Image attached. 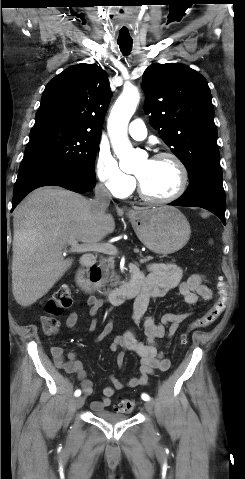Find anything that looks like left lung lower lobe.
<instances>
[{
  "label": "left lung lower lobe",
  "mask_w": 245,
  "mask_h": 479,
  "mask_svg": "<svg viewBox=\"0 0 245 479\" xmlns=\"http://www.w3.org/2000/svg\"><path fill=\"white\" fill-rule=\"evenodd\" d=\"M173 206L201 207L214 213L225 222V192L222 184L220 167L206 169L196 175L187 191L177 200L170 203Z\"/></svg>",
  "instance_id": "1"
}]
</instances>
